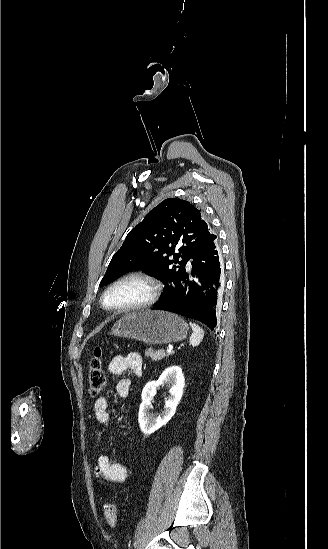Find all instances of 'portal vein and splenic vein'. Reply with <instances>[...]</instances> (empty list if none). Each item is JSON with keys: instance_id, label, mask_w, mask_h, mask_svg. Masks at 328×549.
Wrapping results in <instances>:
<instances>
[{"instance_id": "obj_1", "label": "portal vein and splenic vein", "mask_w": 328, "mask_h": 549, "mask_svg": "<svg viewBox=\"0 0 328 549\" xmlns=\"http://www.w3.org/2000/svg\"><path fill=\"white\" fill-rule=\"evenodd\" d=\"M171 351H172V349H170V347H169V348H167L166 353H171Z\"/></svg>"}]
</instances>
